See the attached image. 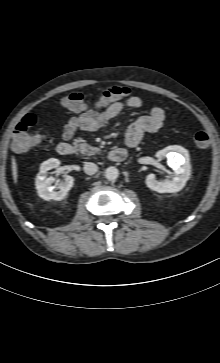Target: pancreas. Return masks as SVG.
I'll list each match as a JSON object with an SVG mask.
<instances>
[{"instance_id":"obj_1","label":"pancreas","mask_w":220,"mask_h":363,"mask_svg":"<svg viewBox=\"0 0 220 363\" xmlns=\"http://www.w3.org/2000/svg\"><path fill=\"white\" fill-rule=\"evenodd\" d=\"M82 139L78 138L74 140V145L77 147L78 151H80L83 155L91 156L100 152V149L97 147H93L88 145L87 143H80Z\"/></svg>"}]
</instances>
